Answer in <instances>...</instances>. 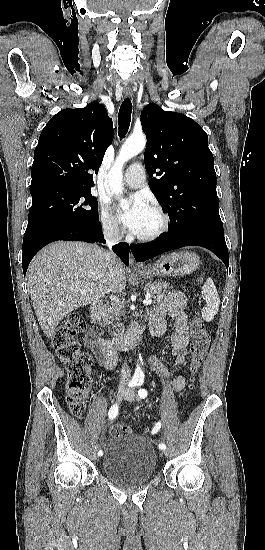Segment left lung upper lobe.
Listing matches in <instances>:
<instances>
[{"label": "left lung upper lobe", "instance_id": "obj_1", "mask_svg": "<svg viewBox=\"0 0 265 550\" xmlns=\"http://www.w3.org/2000/svg\"><path fill=\"white\" fill-rule=\"evenodd\" d=\"M140 118L148 140L149 186L170 217L169 231L202 227L224 234L206 132L191 118L156 104L146 105Z\"/></svg>", "mask_w": 265, "mask_h": 550}]
</instances>
